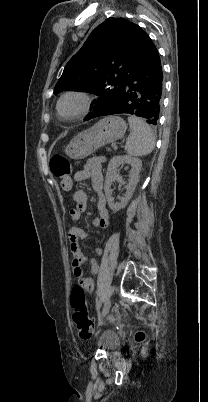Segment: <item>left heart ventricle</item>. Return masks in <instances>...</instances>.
Returning a JSON list of instances; mask_svg holds the SVG:
<instances>
[{
    "label": "left heart ventricle",
    "mask_w": 208,
    "mask_h": 402,
    "mask_svg": "<svg viewBox=\"0 0 208 402\" xmlns=\"http://www.w3.org/2000/svg\"><path fill=\"white\" fill-rule=\"evenodd\" d=\"M83 100L79 97H69L61 104V112L65 116H70L81 110Z\"/></svg>",
    "instance_id": "b2bd125f"
}]
</instances>
